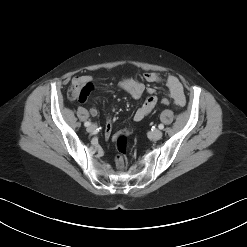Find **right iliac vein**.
Here are the masks:
<instances>
[{
	"mask_svg": "<svg viewBox=\"0 0 247 247\" xmlns=\"http://www.w3.org/2000/svg\"><path fill=\"white\" fill-rule=\"evenodd\" d=\"M96 129H97V127L92 124V125L88 126L87 131L89 133H93V132H95Z\"/></svg>",
	"mask_w": 247,
	"mask_h": 247,
	"instance_id": "obj_1",
	"label": "right iliac vein"
}]
</instances>
